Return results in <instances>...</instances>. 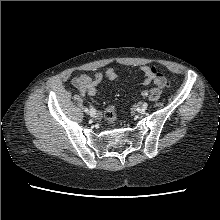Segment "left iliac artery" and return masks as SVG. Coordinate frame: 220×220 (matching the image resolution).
Instances as JSON below:
<instances>
[{
    "instance_id": "obj_1",
    "label": "left iliac artery",
    "mask_w": 220,
    "mask_h": 220,
    "mask_svg": "<svg viewBox=\"0 0 220 220\" xmlns=\"http://www.w3.org/2000/svg\"><path fill=\"white\" fill-rule=\"evenodd\" d=\"M142 95H143V96H147V95H148V91H143V92H142Z\"/></svg>"
}]
</instances>
